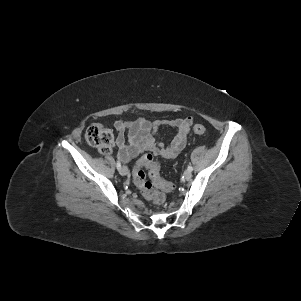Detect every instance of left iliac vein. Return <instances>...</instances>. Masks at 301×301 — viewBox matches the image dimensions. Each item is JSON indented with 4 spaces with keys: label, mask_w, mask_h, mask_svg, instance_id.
Instances as JSON below:
<instances>
[{
    "label": "left iliac vein",
    "mask_w": 301,
    "mask_h": 301,
    "mask_svg": "<svg viewBox=\"0 0 301 301\" xmlns=\"http://www.w3.org/2000/svg\"><path fill=\"white\" fill-rule=\"evenodd\" d=\"M184 177H185L186 179H190V178L192 177L191 171L186 170V171L184 172Z\"/></svg>",
    "instance_id": "1"
}]
</instances>
